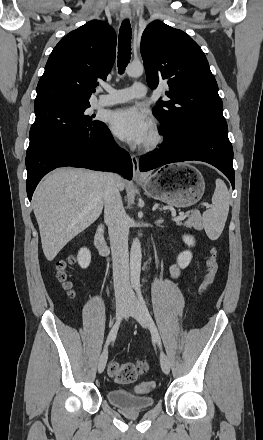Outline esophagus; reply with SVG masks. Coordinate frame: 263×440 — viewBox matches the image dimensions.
<instances>
[{"mask_svg": "<svg viewBox=\"0 0 263 440\" xmlns=\"http://www.w3.org/2000/svg\"><path fill=\"white\" fill-rule=\"evenodd\" d=\"M120 16L123 20L131 18V12L129 10H121ZM132 166H133V179H142L144 176L139 169V160L136 155H131Z\"/></svg>", "mask_w": 263, "mask_h": 440, "instance_id": "34e87169", "label": "esophagus"}]
</instances>
